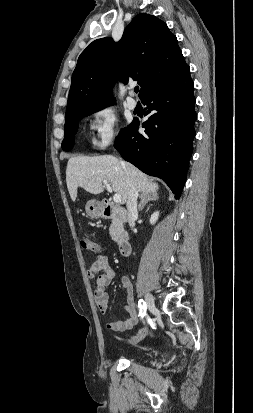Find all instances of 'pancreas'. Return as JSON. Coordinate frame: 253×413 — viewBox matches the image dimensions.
Masks as SVG:
<instances>
[{
	"label": "pancreas",
	"instance_id": "pancreas-1",
	"mask_svg": "<svg viewBox=\"0 0 253 413\" xmlns=\"http://www.w3.org/2000/svg\"><path fill=\"white\" fill-rule=\"evenodd\" d=\"M123 232H124V229H123L122 222L118 218L113 219L112 224L109 229V233H110L112 240L117 241L120 234Z\"/></svg>",
	"mask_w": 253,
	"mask_h": 413
}]
</instances>
